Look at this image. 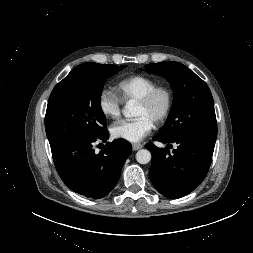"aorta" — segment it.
<instances>
[{"label":"aorta","mask_w":253,"mask_h":253,"mask_svg":"<svg viewBox=\"0 0 253 253\" xmlns=\"http://www.w3.org/2000/svg\"><path fill=\"white\" fill-rule=\"evenodd\" d=\"M123 115L127 118L136 116V105L133 102H128L124 109ZM136 160L140 164H147L151 160V153L147 149H141L136 153Z\"/></svg>","instance_id":"aorta-1"}]
</instances>
